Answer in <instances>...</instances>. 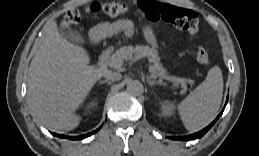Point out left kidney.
Wrapping results in <instances>:
<instances>
[{"instance_id": "left-kidney-1", "label": "left kidney", "mask_w": 259, "mask_h": 156, "mask_svg": "<svg viewBox=\"0 0 259 156\" xmlns=\"http://www.w3.org/2000/svg\"><path fill=\"white\" fill-rule=\"evenodd\" d=\"M159 104H160L162 116L171 117L174 114V110H175L174 102L169 100H163Z\"/></svg>"}]
</instances>
